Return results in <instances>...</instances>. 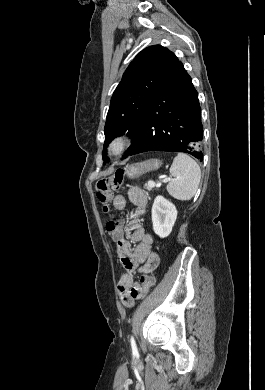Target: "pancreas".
<instances>
[{"label": "pancreas", "instance_id": "cf45deb5", "mask_svg": "<svg viewBox=\"0 0 265 390\" xmlns=\"http://www.w3.org/2000/svg\"><path fill=\"white\" fill-rule=\"evenodd\" d=\"M152 188H154V186H151L149 183L148 184H145V189L150 191L152 190Z\"/></svg>", "mask_w": 265, "mask_h": 390}]
</instances>
